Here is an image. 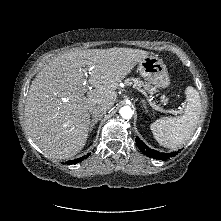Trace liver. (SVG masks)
<instances>
[{"instance_id": "obj_1", "label": "liver", "mask_w": 221, "mask_h": 221, "mask_svg": "<svg viewBox=\"0 0 221 221\" xmlns=\"http://www.w3.org/2000/svg\"><path fill=\"white\" fill-rule=\"evenodd\" d=\"M149 53L140 49L109 48L66 52L47 64L32 81L25 103L26 129L32 140L49 157L69 159L79 153L88 138L89 107L111 108L116 89ZM84 67L90 70L84 88Z\"/></svg>"}]
</instances>
